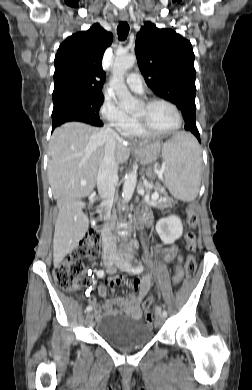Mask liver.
Returning <instances> with one entry per match:
<instances>
[{"instance_id":"obj_1","label":"liver","mask_w":252,"mask_h":390,"mask_svg":"<svg viewBox=\"0 0 252 390\" xmlns=\"http://www.w3.org/2000/svg\"><path fill=\"white\" fill-rule=\"evenodd\" d=\"M104 131L84 123L69 122L56 128L51 136L48 180L59 209L53 238L55 265L77 247L88 230L89 221L82 213L84 203L81 199L90 195L96 185L99 167L105 155ZM129 156V143L118 139L115 147L116 162L125 163ZM81 181L86 184L81 185Z\"/></svg>"}]
</instances>
